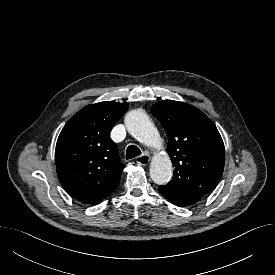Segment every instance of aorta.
Listing matches in <instances>:
<instances>
[{
  "mask_svg": "<svg viewBox=\"0 0 275 275\" xmlns=\"http://www.w3.org/2000/svg\"><path fill=\"white\" fill-rule=\"evenodd\" d=\"M125 126L128 132L138 141L149 147L160 145L158 130L147 114L141 110H132L125 117ZM172 162L168 155L157 154L154 156L150 165V176L158 185L167 184L172 177Z\"/></svg>",
  "mask_w": 275,
  "mask_h": 275,
  "instance_id": "aorta-1",
  "label": "aorta"
}]
</instances>
